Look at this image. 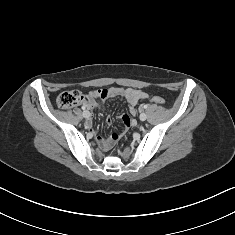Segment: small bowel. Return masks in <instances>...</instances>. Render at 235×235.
<instances>
[{"label": "small bowel", "instance_id": "c3829d8e", "mask_svg": "<svg viewBox=\"0 0 235 235\" xmlns=\"http://www.w3.org/2000/svg\"><path fill=\"white\" fill-rule=\"evenodd\" d=\"M113 97H122L124 98L128 105H129V112L132 116H135L136 111V105L140 100L148 99V94L139 89L134 88H120V87H111L108 89L98 90L91 92L87 99L83 102V106L86 109H94L97 106V99H100L102 101H105L108 98ZM112 123V117L109 114L106 119V125L109 126ZM85 126L89 133L92 135H95L96 139L103 145L105 137L101 136L100 134H96V130L94 129L92 123L90 121L85 123Z\"/></svg>", "mask_w": 235, "mask_h": 235}]
</instances>
